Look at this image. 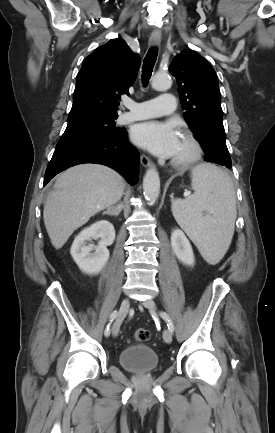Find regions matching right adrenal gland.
<instances>
[{
	"mask_svg": "<svg viewBox=\"0 0 275 433\" xmlns=\"http://www.w3.org/2000/svg\"><path fill=\"white\" fill-rule=\"evenodd\" d=\"M123 209V204L119 202L118 204L109 207L107 211L103 212V215L108 214L110 216H118Z\"/></svg>",
	"mask_w": 275,
	"mask_h": 433,
	"instance_id": "right-adrenal-gland-1",
	"label": "right adrenal gland"
}]
</instances>
